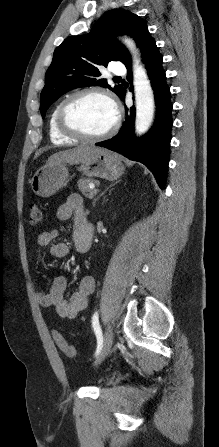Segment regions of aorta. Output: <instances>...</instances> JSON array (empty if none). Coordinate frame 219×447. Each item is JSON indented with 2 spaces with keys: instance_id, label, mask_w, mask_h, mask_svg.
I'll return each mask as SVG.
<instances>
[{
  "instance_id": "obj_1",
  "label": "aorta",
  "mask_w": 219,
  "mask_h": 447,
  "mask_svg": "<svg viewBox=\"0 0 219 447\" xmlns=\"http://www.w3.org/2000/svg\"><path fill=\"white\" fill-rule=\"evenodd\" d=\"M123 43L133 57V85L136 101L135 129L137 134L148 131L154 114V96L145 68L140 63L138 49L130 38H123Z\"/></svg>"
}]
</instances>
